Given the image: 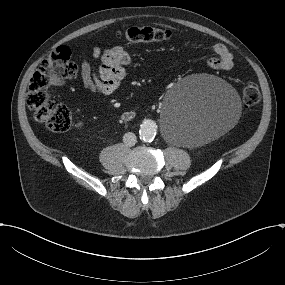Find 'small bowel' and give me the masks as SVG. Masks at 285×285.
Listing matches in <instances>:
<instances>
[{"label": "small bowel", "mask_w": 285, "mask_h": 285, "mask_svg": "<svg viewBox=\"0 0 285 285\" xmlns=\"http://www.w3.org/2000/svg\"><path fill=\"white\" fill-rule=\"evenodd\" d=\"M213 51L214 55L207 59L208 66L220 71H228L233 67V55L226 45L216 43ZM130 62V53L121 45L104 50L94 46L92 61L85 58L81 63L82 83L91 92L110 95L125 77Z\"/></svg>", "instance_id": "obj_1"}]
</instances>
